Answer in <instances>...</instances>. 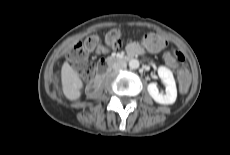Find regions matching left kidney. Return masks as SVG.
I'll use <instances>...</instances> for the list:
<instances>
[{"label":"left kidney","instance_id":"left-kidney-1","mask_svg":"<svg viewBox=\"0 0 230 155\" xmlns=\"http://www.w3.org/2000/svg\"><path fill=\"white\" fill-rule=\"evenodd\" d=\"M158 75L166 87V93L159 92L157 84L154 82L148 85V93L159 104H173L177 98V88L172 71L165 66H160Z\"/></svg>","mask_w":230,"mask_h":155}]
</instances>
